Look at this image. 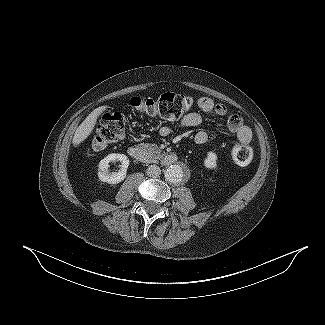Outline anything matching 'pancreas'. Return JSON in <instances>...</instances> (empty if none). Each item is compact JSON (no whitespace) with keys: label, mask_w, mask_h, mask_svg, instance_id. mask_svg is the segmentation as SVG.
Masks as SVG:
<instances>
[{"label":"pancreas","mask_w":325,"mask_h":325,"mask_svg":"<svg viewBox=\"0 0 325 325\" xmlns=\"http://www.w3.org/2000/svg\"><path fill=\"white\" fill-rule=\"evenodd\" d=\"M144 150L148 153V155L152 158L162 157L161 149L155 144H142Z\"/></svg>","instance_id":"pancreas-1"}]
</instances>
